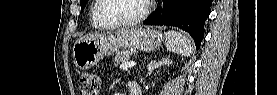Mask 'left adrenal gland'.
<instances>
[{
	"label": "left adrenal gland",
	"mask_w": 277,
	"mask_h": 95,
	"mask_svg": "<svg viewBox=\"0 0 277 95\" xmlns=\"http://www.w3.org/2000/svg\"><path fill=\"white\" fill-rule=\"evenodd\" d=\"M170 61H169V59L168 58H163L161 61H158V62H156V61H152V62H150V64H149V68H151L152 70L153 69H156V68H158V67H160V66H162V65H165V64H167V63H169Z\"/></svg>",
	"instance_id": "1"
}]
</instances>
